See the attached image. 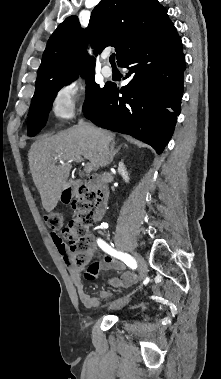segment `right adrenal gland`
<instances>
[{"instance_id": "1", "label": "right adrenal gland", "mask_w": 221, "mask_h": 379, "mask_svg": "<svg viewBox=\"0 0 221 379\" xmlns=\"http://www.w3.org/2000/svg\"><path fill=\"white\" fill-rule=\"evenodd\" d=\"M121 147H122V145H120L118 148L115 149V143L111 144V146H110V159L108 161V164H111L113 162L114 157L119 152V150L121 149Z\"/></svg>"}]
</instances>
